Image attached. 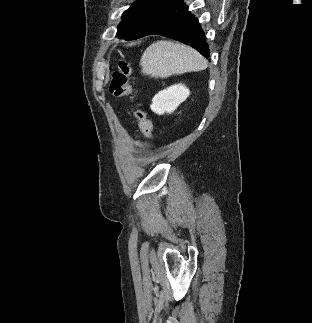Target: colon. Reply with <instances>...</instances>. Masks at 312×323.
I'll return each mask as SVG.
<instances>
[{
    "label": "colon",
    "mask_w": 312,
    "mask_h": 323,
    "mask_svg": "<svg viewBox=\"0 0 312 323\" xmlns=\"http://www.w3.org/2000/svg\"><path fill=\"white\" fill-rule=\"evenodd\" d=\"M131 65L127 59H121L119 69L113 73L112 81L109 87L110 93L116 98L129 97L136 99L133 85L129 81L131 74ZM140 131L144 138L151 140L153 138V124L148 118L147 113L142 109L136 110Z\"/></svg>",
    "instance_id": "colon-1"
}]
</instances>
